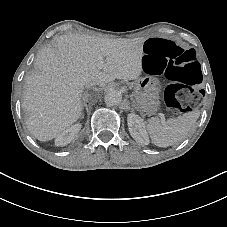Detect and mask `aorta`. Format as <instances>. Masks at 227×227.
<instances>
[{
  "instance_id": "obj_1",
  "label": "aorta",
  "mask_w": 227,
  "mask_h": 227,
  "mask_svg": "<svg viewBox=\"0 0 227 227\" xmlns=\"http://www.w3.org/2000/svg\"><path fill=\"white\" fill-rule=\"evenodd\" d=\"M122 101L121 93L115 90L109 91L104 96V102L107 106L119 105Z\"/></svg>"
}]
</instances>
